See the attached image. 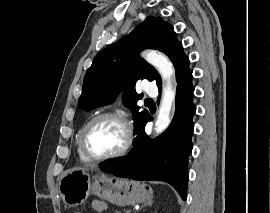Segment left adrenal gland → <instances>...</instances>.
<instances>
[{"label": "left adrenal gland", "mask_w": 270, "mask_h": 213, "mask_svg": "<svg viewBox=\"0 0 270 213\" xmlns=\"http://www.w3.org/2000/svg\"><path fill=\"white\" fill-rule=\"evenodd\" d=\"M152 204V202H148L147 204H145L144 206H147V205H151Z\"/></svg>", "instance_id": "left-adrenal-gland-1"}]
</instances>
